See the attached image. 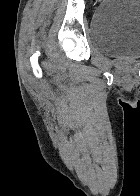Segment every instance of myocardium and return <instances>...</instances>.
Instances as JSON below:
<instances>
[{"label": "myocardium", "instance_id": "obj_1", "mask_svg": "<svg viewBox=\"0 0 140 196\" xmlns=\"http://www.w3.org/2000/svg\"><path fill=\"white\" fill-rule=\"evenodd\" d=\"M91 192H112V191H91Z\"/></svg>", "mask_w": 140, "mask_h": 196}]
</instances>
